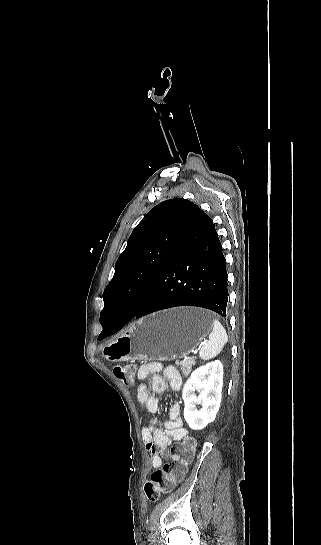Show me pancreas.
<instances>
[{"label": "pancreas", "mask_w": 321, "mask_h": 545, "mask_svg": "<svg viewBox=\"0 0 321 545\" xmlns=\"http://www.w3.org/2000/svg\"><path fill=\"white\" fill-rule=\"evenodd\" d=\"M176 367H181L182 375L183 377H188L189 373H191L192 367L196 365L195 359H186V361H175Z\"/></svg>", "instance_id": "1"}]
</instances>
